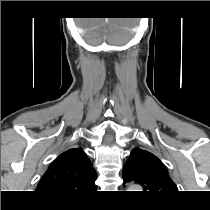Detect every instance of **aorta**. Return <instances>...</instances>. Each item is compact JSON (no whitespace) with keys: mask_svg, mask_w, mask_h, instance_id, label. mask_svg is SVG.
Segmentation results:
<instances>
[{"mask_svg":"<svg viewBox=\"0 0 210 210\" xmlns=\"http://www.w3.org/2000/svg\"><path fill=\"white\" fill-rule=\"evenodd\" d=\"M131 189H140L139 186H132Z\"/></svg>","mask_w":210,"mask_h":210,"instance_id":"1","label":"aorta"}]
</instances>
